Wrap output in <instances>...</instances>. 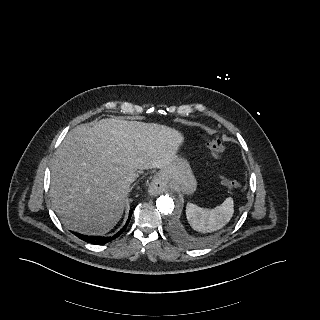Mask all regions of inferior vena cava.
I'll list each match as a JSON object with an SVG mask.
<instances>
[{"label": "inferior vena cava", "mask_w": 320, "mask_h": 320, "mask_svg": "<svg viewBox=\"0 0 320 320\" xmlns=\"http://www.w3.org/2000/svg\"><path fill=\"white\" fill-rule=\"evenodd\" d=\"M137 177H138V173H136V172H131V173H129L128 176H127V181H128L129 183H132V182L135 181V179H136Z\"/></svg>", "instance_id": "1"}]
</instances>
